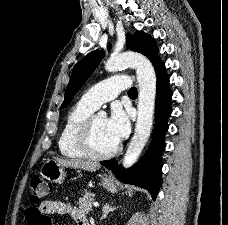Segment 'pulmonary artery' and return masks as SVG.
Segmentation results:
<instances>
[{"mask_svg":"<svg viewBox=\"0 0 228 225\" xmlns=\"http://www.w3.org/2000/svg\"><path fill=\"white\" fill-rule=\"evenodd\" d=\"M129 80V75L114 76L107 81H100V85H93V89L86 91L80 100L94 108L98 109L104 102L115 98L121 93V90H127V81L115 80ZM129 88V87H128Z\"/></svg>","mask_w":228,"mask_h":225,"instance_id":"pulmonary-artery-1","label":"pulmonary artery"}]
</instances>
